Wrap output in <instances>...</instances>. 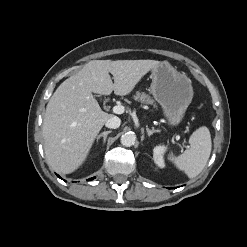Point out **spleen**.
<instances>
[{
    "mask_svg": "<svg viewBox=\"0 0 247 247\" xmlns=\"http://www.w3.org/2000/svg\"><path fill=\"white\" fill-rule=\"evenodd\" d=\"M190 148L179 156L170 154L168 159L189 177L194 178L204 169L211 153V135L207 127L195 130L189 138Z\"/></svg>",
    "mask_w": 247,
    "mask_h": 247,
    "instance_id": "obj_1",
    "label": "spleen"
}]
</instances>
